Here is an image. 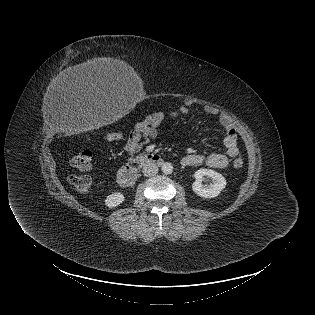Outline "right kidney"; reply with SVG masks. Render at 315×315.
<instances>
[{"label":"right kidney","instance_id":"obj_1","mask_svg":"<svg viewBox=\"0 0 315 315\" xmlns=\"http://www.w3.org/2000/svg\"><path fill=\"white\" fill-rule=\"evenodd\" d=\"M125 200V197L122 193L116 192L108 195L105 199V205L108 208H114L120 205Z\"/></svg>","mask_w":315,"mask_h":315}]
</instances>
